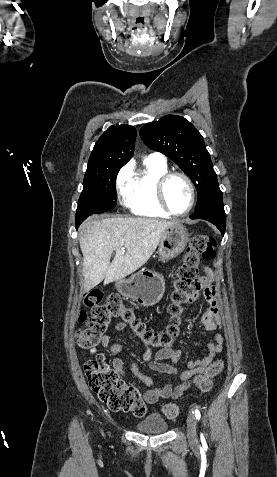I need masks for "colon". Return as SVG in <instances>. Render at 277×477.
Masks as SVG:
<instances>
[{
  "label": "colon",
  "mask_w": 277,
  "mask_h": 477,
  "mask_svg": "<svg viewBox=\"0 0 277 477\" xmlns=\"http://www.w3.org/2000/svg\"><path fill=\"white\" fill-rule=\"evenodd\" d=\"M215 246V239L205 234H197L190 240L174 281L169 308L171 323L166 329L155 331L148 327L135 314L133 308L125 306L116 295L109 296L106 302L102 303L103 292L95 289L88 292L83 300V305L90 309V314L87 315L82 311L79 315V321L85 324V328L76 333L77 345L83 349L98 346L111 322L120 319L146 345L171 348L180 335L181 315L185 306L197 295L201 287L200 260L201 258L212 260L216 255ZM223 367V361L218 360L204 373L198 375L196 378L198 389L202 392L208 391L211 388V378L218 375ZM84 371L90 388L109 409L131 412L136 416L144 414L145 406L139 390L126 385L104 360L96 358L88 360L84 365ZM179 413L180 407L175 403L166 404L164 407V414L169 419L176 418Z\"/></svg>",
  "instance_id": "colon-1"
}]
</instances>
